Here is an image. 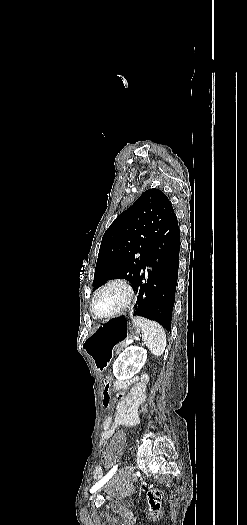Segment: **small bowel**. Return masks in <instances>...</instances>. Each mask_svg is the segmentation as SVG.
<instances>
[{"instance_id": "small-bowel-1", "label": "small bowel", "mask_w": 247, "mask_h": 525, "mask_svg": "<svg viewBox=\"0 0 247 525\" xmlns=\"http://www.w3.org/2000/svg\"><path fill=\"white\" fill-rule=\"evenodd\" d=\"M149 382V376L142 374L133 380L132 387L127 395H125L117 404L114 417H107L103 422L101 439L107 441L111 439L115 431L121 427L130 424L135 420L138 408L145 399L146 387ZM121 384L117 382L116 387L112 388V393L121 389ZM119 458V452L112 450L107 457L108 462L113 463ZM94 478L101 479L103 472L100 466L94 470Z\"/></svg>"}]
</instances>
